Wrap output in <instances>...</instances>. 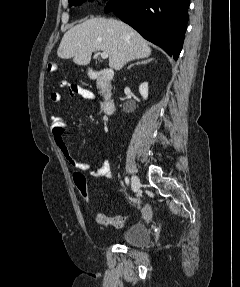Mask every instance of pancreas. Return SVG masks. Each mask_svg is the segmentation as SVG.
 Returning a JSON list of instances; mask_svg holds the SVG:
<instances>
[{
  "instance_id": "pancreas-1",
  "label": "pancreas",
  "mask_w": 240,
  "mask_h": 287,
  "mask_svg": "<svg viewBox=\"0 0 240 287\" xmlns=\"http://www.w3.org/2000/svg\"><path fill=\"white\" fill-rule=\"evenodd\" d=\"M105 91V88L100 89V93L102 94Z\"/></svg>"
}]
</instances>
